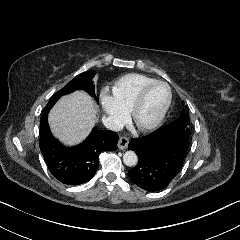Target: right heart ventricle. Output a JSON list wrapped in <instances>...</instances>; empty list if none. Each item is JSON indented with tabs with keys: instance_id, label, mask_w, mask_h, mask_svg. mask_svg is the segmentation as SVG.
Segmentation results:
<instances>
[{
	"instance_id": "right-heart-ventricle-1",
	"label": "right heart ventricle",
	"mask_w": 240,
	"mask_h": 240,
	"mask_svg": "<svg viewBox=\"0 0 240 240\" xmlns=\"http://www.w3.org/2000/svg\"><path fill=\"white\" fill-rule=\"evenodd\" d=\"M153 81V79L139 74L125 75L106 86L103 102L126 112L140 91Z\"/></svg>"
}]
</instances>
